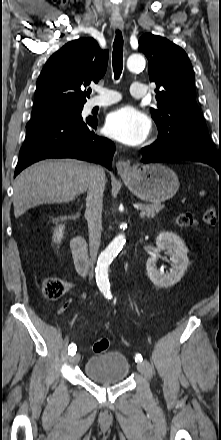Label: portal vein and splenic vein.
Returning <instances> with one entry per match:
<instances>
[{
	"mask_svg": "<svg viewBox=\"0 0 221 440\" xmlns=\"http://www.w3.org/2000/svg\"><path fill=\"white\" fill-rule=\"evenodd\" d=\"M146 215V213L144 211L140 212V217H144Z\"/></svg>",
	"mask_w": 221,
	"mask_h": 440,
	"instance_id": "obj_1",
	"label": "portal vein and splenic vein"
}]
</instances>
